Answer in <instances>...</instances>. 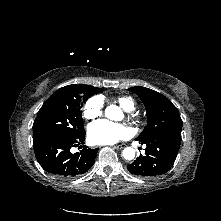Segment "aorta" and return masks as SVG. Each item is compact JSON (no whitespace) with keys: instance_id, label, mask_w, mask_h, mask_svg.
Segmentation results:
<instances>
[{"instance_id":"aorta-1","label":"aorta","mask_w":221,"mask_h":221,"mask_svg":"<svg viewBox=\"0 0 221 221\" xmlns=\"http://www.w3.org/2000/svg\"><path fill=\"white\" fill-rule=\"evenodd\" d=\"M113 106H109L106 109V114L108 115V113L112 110ZM122 155L124 157V159L126 160H132L135 157V150L132 147H126L123 152Z\"/></svg>"}]
</instances>
